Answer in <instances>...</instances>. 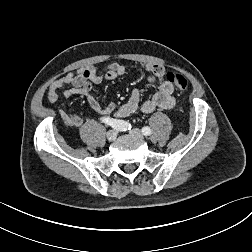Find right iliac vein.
Wrapping results in <instances>:
<instances>
[{
	"label": "right iliac vein",
	"mask_w": 252,
	"mask_h": 252,
	"mask_svg": "<svg viewBox=\"0 0 252 252\" xmlns=\"http://www.w3.org/2000/svg\"><path fill=\"white\" fill-rule=\"evenodd\" d=\"M106 137L109 141H114L117 137V132L114 130H110L107 132Z\"/></svg>",
	"instance_id": "63e3f726"
}]
</instances>
